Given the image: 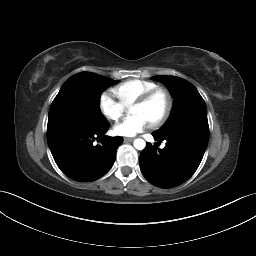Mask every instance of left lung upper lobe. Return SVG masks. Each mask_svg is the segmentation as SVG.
<instances>
[{
	"label": "left lung upper lobe",
	"instance_id": "5c2ea615",
	"mask_svg": "<svg viewBox=\"0 0 256 256\" xmlns=\"http://www.w3.org/2000/svg\"><path fill=\"white\" fill-rule=\"evenodd\" d=\"M152 79L163 82L174 97L169 119L153 133L161 138L185 135L208 143L206 104L197 89L187 80L176 76L158 75Z\"/></svg>",
	"mask_w": 256,
	"mask_h": 256
}]
</instances>
